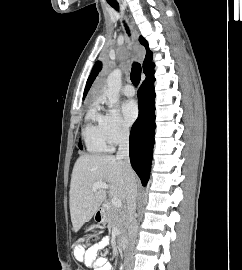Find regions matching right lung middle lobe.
Returning <instances> with one entry per match:
<instances>
[{"label": "right lung middle lobe", "instance_id": "dd1d6c3e", "mask_svg": "<svg viewBox=\"0 0 242 270\" xmlns=\"http://www.w3.org/2000/svg\"><path fill=\"white\" fill-rule=\"evenodd\" d=\"M79 148L82 149V144L81 143H79Z\"/></svg>", "mask_w": 242, "mask_h": 270}]
</instances>
